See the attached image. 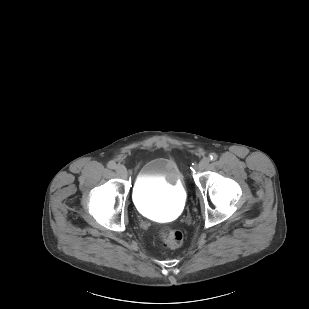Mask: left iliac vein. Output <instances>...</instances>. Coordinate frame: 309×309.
Segmentation results:
<instances>
[{
  "mask_svg": "<svg viewBox=\"0 0 309 309\" xmlns=\"http://www.w3.org/2000/svg\"><path fill=\"white\" fill-rule=\"evenodd\" d=\"M208 165H209V158L204 157V158H202L201 161L199 162L198 170H199V171H202V170H204Z\"/></svg>",
  "mask_w": 309,
  "mask_h": 309,
  "instance_id": "1",
  "label": "left iliac vein"
}]
</instances>
